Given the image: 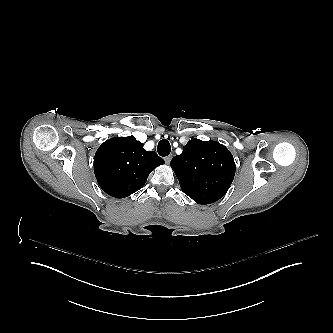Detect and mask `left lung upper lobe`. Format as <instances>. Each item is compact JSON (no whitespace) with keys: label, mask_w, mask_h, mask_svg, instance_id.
<instances>
[{"label":"left lung upper lobe","mask_w":333,"mask_h":333,"mask_svg":"<svg viewBox=\"0 0 333 333\" xmlns=\"http://www.w3.org/2000/svg\"><path fill=\"white\" fill-rule=\"evenodd\" d=\"M182 191L196 203L206 205L223 197L235 175L230 151L215 141L190 140L181 155L171 160Z\"/></svg>","instance_id":"1"}]
</instances>
